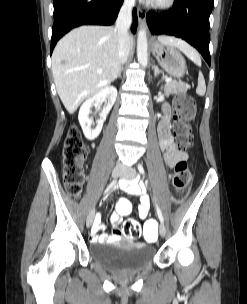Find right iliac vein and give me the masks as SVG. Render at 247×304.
<instances>
[{
    "label": "right iliac vein",
    "instance_id": "1",
    "mask_svg": "<svg viewBox=\"0 0 247 304\" xmlns=\"http://www.w3.org/2000/svg\"><path fill=\"white\" fill-rule=\"evenodd\" d=\"M121 173H122V168L117 165L113 168L111 177L117 178L118 176L121 175ZM94 217H95V208L91 209V211L89 212V214L87 216L86 225L88 228L92 225Z\"/></svg>",
    "mask_w": 247,
    "mask_h": 304
}]
</instances>
